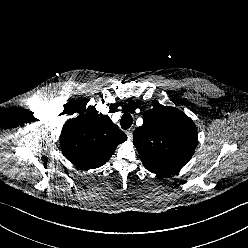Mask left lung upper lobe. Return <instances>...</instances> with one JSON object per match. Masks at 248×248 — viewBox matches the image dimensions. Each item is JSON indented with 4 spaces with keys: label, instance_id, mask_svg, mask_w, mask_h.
<instances>
[{
    "label": "left lung upper lobe",
    "instance_id": "obj_1",
    "mask_svg": "<svg viewBox=\"0 0 248 248\" xmlns=\"http://www.w3.org/2000/svg\"><path fill=\"white\" fill-rule=\"evenodd\" d=\"M143 125L133 136L146 169L158 176H168L182 168L197 146V130L182 111L156 105L143 114Z\"/></svg>",
    "mask_w": 248,
    "mask_h": 248
}]
</instances>
